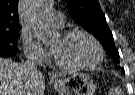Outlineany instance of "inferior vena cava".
<instances>
[{
    "label": "inferior vena cava",
    "mask_w": 135,
    "mask_h": 95,
    "mask_svg": "<svg viewBox=\"0 0 135 95\" xmlns=\"http://www.w3.org/2000/svg\"><path fill=\"white\" fill-rule=\"evenodd\" d=\"M41 64L40 58L36 54H32L27 62L24 64L25 68L28 70V72H35L37 69V66Z\"/></svg>",
    "instance_id": "inferior-vena-cava-1"
}]
</instances>
